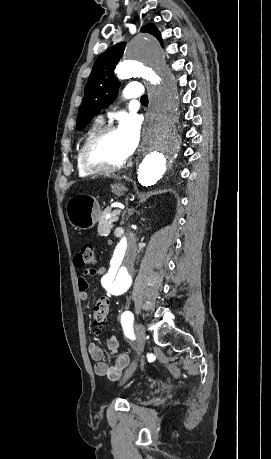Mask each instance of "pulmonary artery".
Returning <instances> with one entry per match:
<instances>
[{
  "mask_svg": "<svg viewBox=\"0 0 271 459\" xmlns=\"http://www.w3.org/2000/svg\"><path fill=\"white\" fill-rule=\"evenodd\" d=\"M141 84L138 81H129L127 83V90L123 92V95H119L117 97V102L119 104H124L126 102V97L127 98H142L144 96L143 90L140 89ZM126 97H125V96ZM99 120H102V116L98 118Z\"/></svg>",
  "mask_w": 271,
  "mask_h": 459,
  "instance_id": "e3ab8cb5",
  "label": "pulmonary artery"
}]
</instances>
